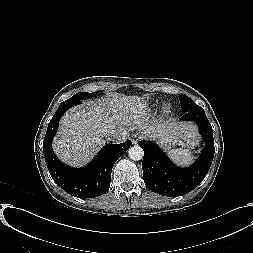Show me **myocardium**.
Wrapping results in <instances>:
<instances>
[{
	"instance_id": "f54148a6",
	"label": "myocardium",
	"mask_w": 253,
	"mask_h": 253,
	"mask_svg": "<svg viewBox=\"0 0 253 253\" xmlns=\"http://www.w3.org/2000/svg\"><path fill=\"white\" fill-rule=\"evenodd\" d=\"M163 108H164L165 111H170L171 106H170L169 103H166Z\"/></svg>"
}]
</instances>
